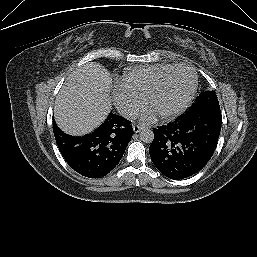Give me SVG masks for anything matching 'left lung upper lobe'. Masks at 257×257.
Here are the masks:
<instances>
[{
	"label": "left lung upper lobe",
	"instance_id": "5c2ea615",
	"mask_svg": "<svg viewBox=\"0 0 257 257\" xmlns=\"http://www.w3.org/2000/svg\"><path fill=\"white\" fill-rule=\"evenodd\" d=\"M204 108L220 109V105L216 93L212 90L201 93L195 103L189 108L190 110L197 111Z\"/></svg>",
	"mask_w": 257,
	"mask_h": 257
}]
</instances>
